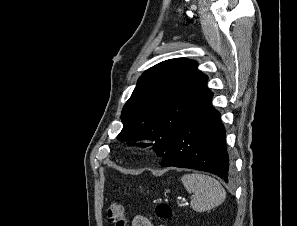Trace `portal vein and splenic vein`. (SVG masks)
<instances>
[{"mask_svg":"<svg viewBox=\"0 0 297 226\" xmlns=\"http://www.w3.org/2000/svg\"><path fill=\"white\" fill-rule=\"evenodd\" d=\"M184 202H185V200H184V199H182V200H181V205H183V204H184Z\"/></svg>","mask_w":297,"mask_h":226,"instance_id":"18ae733b","label":"portal vein and splenic vein"}]
</instances>
